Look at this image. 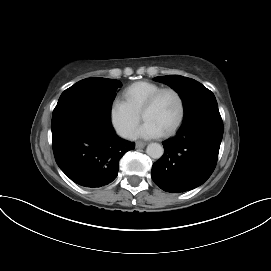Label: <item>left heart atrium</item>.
<instances>
[{
  "mask_svg": "<svg viewBox=\"0 0 271 271\" xmlns=\"http://www.w3.org/2000/svg\"><path fill=\"white\" fill-rule=\"evenodd\" d=\"M163 135V131L149 120H145L144 123L137 129L134 137L140 138H156Z\"/></svg>",
  "mask_w": 271,
  "mask_h": 271,
  "instance_id": "left-heart-atrium-1",
  "label": "left heart atrium"
}]
</instances>
